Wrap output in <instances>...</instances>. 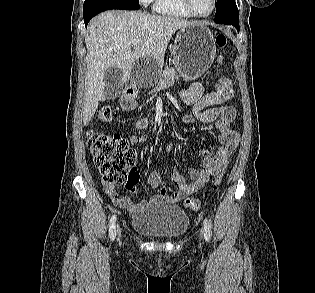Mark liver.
Returning <instances> with one entry per match:
<instances>
[{
    "label": "liver",
    "mask_w": 315,
    "mask_h": 293,
    "mask_svg": "<svg viewBox=\"0 0 315 293\" xmlns=\"http://www.w3.org/2000/svg\"><path fill=\"white\" fill-rule=\"evenodd\" d=\"M197 23L142 11H106L95 17L85 36L87 88L83 102L84 125L91 121L99 102L106 99L104 74L109 67L120 68L128 80L132 64L143 56L163 64L172 35ZM135 41H139L137 46H133Z\"/></svg>",
    "instance_id": "1"
}]
</instances>
